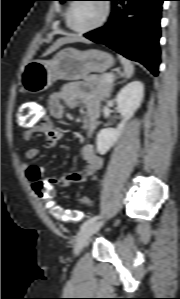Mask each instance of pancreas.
I'll return each instance as SVG.
<instances>
[{"mask_svg": "<svg viewBox=\"0 0 180 299\" xmlns=\"http://www.w3.org/2000/svg\"><path fill=\"white\" fill-rule=\"evenodd\" d=\"M108 75L109 74L91 75L85 78V81L88 83L89 87L96 91L102 100H105L109 97L113 87V83L108 82L106 79Z\"/></svg>", "mask_w": 180, "mask_h": 299, "instance_id": "pancreas-1", "label": "pancreas"}]
</instances>
